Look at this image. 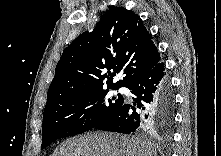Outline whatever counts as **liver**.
I'll return each mask as SVG.
<instances>
[{"label":"liver","mask_w":221,"mask_h":156,"mask_svg":"<svg viewBox=\"0 0 221 156\" xmlns=\"http://www.w3.org/2000/svg\"><path fill=\"white\" fill-rule=\"evenodd\" d=\"M148 140L115 133H90L66 140L55 156H156Z\"/></svg>","instance_id":"6515ba94"}]
</instances>
